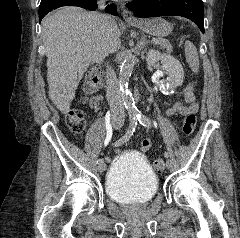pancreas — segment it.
<instances>
[{
	"mask_svg": "<svg viewBox=\"0 0 240 238\" xmlns=\"http://www.w3.org/2000/svg\"><path fill=\"white\" fill-rule=\"evenodd\" d=\"M155 43L161 45V47L165 48L168 53H171L173 51L172 45L170 42L166 39H157Z\"/></svg>",
	"mask_w": 240,
	"mask_h": 238,
	"instance_id": "obj_1",
	"label": "pancreas"
}]
</instances>
